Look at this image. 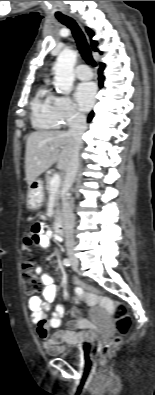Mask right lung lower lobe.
<instances>
[{"instance_id":"obj_1","label":"right lung lower lobe","mask_w":155,"mask_h":395,"mask_svg":"<svg viewBox=\"0 0 155 395\" xmlns=\"http://www.w3.org/2000/svg\"><path fill=\"white\" fill-rule=\"evenodd\" d=\"M104 68H105V65L103 63H101L100 68H99V78H98L100 87L103 86L104 76H103L102 72H103ZM93 116H94V113L92 111L88 116V122H90L92 120Z\"/></svg>"}]
</instances>
